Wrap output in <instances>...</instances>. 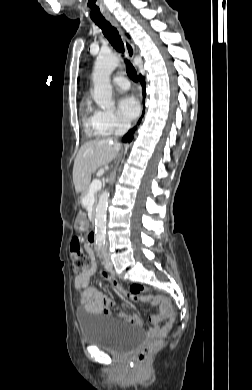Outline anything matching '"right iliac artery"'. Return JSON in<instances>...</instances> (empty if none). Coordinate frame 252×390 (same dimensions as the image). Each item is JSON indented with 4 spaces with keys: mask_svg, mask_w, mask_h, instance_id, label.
Segmentation results:
<instances>
[{
    "mask_svg": "<svg viewBox=\"0 0 252 390\" xmlns=\"http://www.w3.org/2000/svg\"><path fill=\"white\" fill-rule=\"evenodd\" d=\"M101 248H102V245H99V246H98V251H100Z\"/></svg>",
    "mask_w": 252,
    "mask_h": 390,
    "instance_id": "obj_1",
    "label": "right iliac artery"
}]
</instances>
